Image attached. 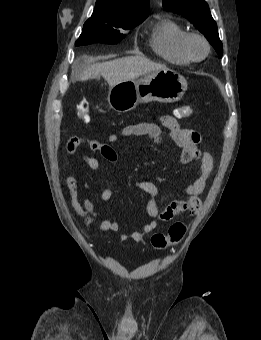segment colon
<instances>
[{"mask_svg": "<svg viewBox=\"0 0 261 340\" xmlns=\"http://www.w3.org/2000/svg\"><path fill=\"white\" fill-rule=\"evenodd\" d=\"M77 111L83 122L90 121V105L88 101L82 100ZM193 114L191 106H181L174 111V115L178 118L189 117ZM186 234V227L182 223L172 224L166 233H155L151 237V244L158 250H164L178 244Z\"/></svg>", "mask_w": 261, "mask_h": 340, "instance_id": "1", "label": "colon"}]
</instances>
